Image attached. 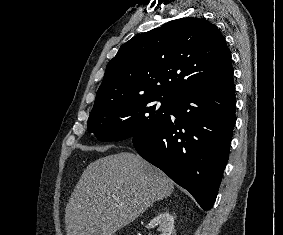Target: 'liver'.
Masks as SVG:
<instances>
[{"label":"liver","mask_w":283,"mask_h":235,"mask_svg":"<svg viewBox=\"0 0 283 235\" xmlns=\"http://www.w3.org/2000/svg\"><path fill=\"white\" fill-rule=\"evenodd\" d=\"M173 189L166 174L137 154L102 157L87 166L69 198L66 233L114 235Z\"/></svg>","instance_id":"obj_1"}]
</instances>
